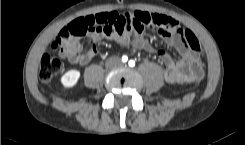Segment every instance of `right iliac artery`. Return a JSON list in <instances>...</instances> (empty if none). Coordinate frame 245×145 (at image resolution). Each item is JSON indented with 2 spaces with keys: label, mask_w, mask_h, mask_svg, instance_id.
Returning a JSON list of instances; mask_svg holds the SVG:
<instances>
[{
  "label": "right iliac artery",
  "mask_w": 245,
  "mask_h": 145,
  "mask_svg": "<svg viewBox=\"0 0 245 145\" xmlns=\"http://www.w3.org/2000/svg\"><path fill=\"white\" fill-rule=\"evenodd\" d=\"M127 60H128V57L124 55V56L122 57V61H123V62H126Z\"/></svg>",
  "instance_id": "right-iliac-artery-1"
}]
</instances>
